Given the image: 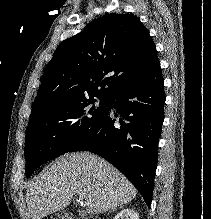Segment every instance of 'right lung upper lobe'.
I'll return each mask as SVG.
<instances>
[{
	"label": "right lung upper lobe",
	"instance_id": "cb5924a9",
	"mask_svg": "<svg viewBox=\"0 0 211 219\" xmlns=\"http://www.w3.org/2000/svg\"><path fill=\"white\" fill-rule=\"evenodd\" d=\"M156 54L155 44L137 16L112 13L98 18L56 48L30 119L84 98L110 99L146 74L159 61Z\"/></svg>",
	"mask_w": 211,
	"mask_h": 219
}]
</instances>
